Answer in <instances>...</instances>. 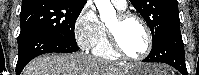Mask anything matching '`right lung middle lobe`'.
I'll list each match as a JSON object with an SVG mask.
<instances>
[{
  "label": "right lung middle lobe",
  "mask_w": 199,
  "mask_h": 75,
  "mask_svg": "<svg viewBox=\"0 0 199 75\" xmlns=\"http://www.w3.org/2000/svg\"><path fill=\"white\" fill-rule=\"evenodd\" d=\"M84 5L58 0L45 3L22 4L19 38L39 32L77 45L74 27Z\"/></svg>",
  "instance_id": "right-lung-middle-lobe-1"
}]
</instances>
